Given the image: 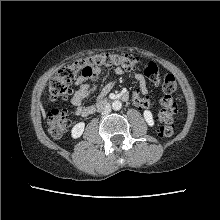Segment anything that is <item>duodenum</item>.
Instances as JSON below:
<instances>
[{
  "mask_svg": "<svg viewBox=\"0 0 220 220\" xmlns=\"http://www.w3.org/2000/svg\"><path fill=\"white\" fill-rule=\"evenodd\" d=\"M117 99H120L122 101H127L128 95L126 93H122L118 95ZM107 104H108L107 98L102 97L97 103L96 110L103 109L104 107H106Z\"/></svg>",
  "mask_w": 220,
  "mask_h": 220,
  "instance_id": "410a0bca",
  "label": "duodenum"
}]
</instances>
